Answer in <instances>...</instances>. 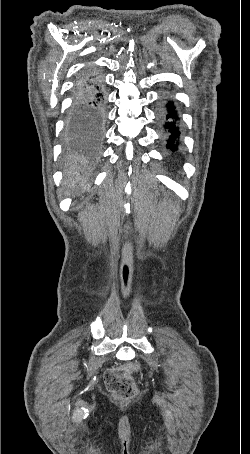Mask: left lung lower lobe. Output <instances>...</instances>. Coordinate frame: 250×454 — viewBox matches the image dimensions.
Listing matches in <instances>:
<instances>
[{
    "mask_svg": "<svg viewBox=\"0 0 250 454\" xmlns=\"http://www.w3.org/2000/svg\"><path fill=\"white\" fill-rule=\"evenodd\" d=\"M166 111L163 113V121L166 132L168 133L167 148L172 152L177 151L179 145L180 131L178 127V116L175 107L171 102L166 105Z\"/></svg>",
    "mask_w": 250,
    "mask_h": 454,
    "instance_id": "left-lung-lower-lobe-1",
    "label": "left lung lower lobe"
}]
</instances>
